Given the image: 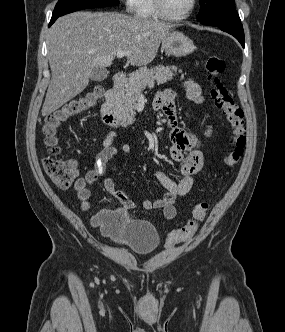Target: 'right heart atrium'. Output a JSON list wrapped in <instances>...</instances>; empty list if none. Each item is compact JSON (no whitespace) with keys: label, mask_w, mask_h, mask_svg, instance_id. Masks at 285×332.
<instances>
[{"label":"right heart atrium","mask_w":285,"mask_h":332,"mask_svg":"<svg viewBox=\"0 0 285 332\" xmlns=\"http://www.w3.org/2000/svg\"><path fill=\"white\" fill-rule=\"evenodd\" d=\"M135 2H136V0H123V4H124L125 9L128 12H132L134 10V7H135Z\"/></svg>","instance_id":"d8ad5b80"}]
</instances>
